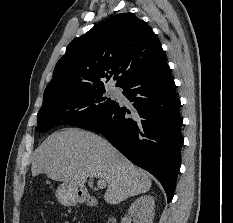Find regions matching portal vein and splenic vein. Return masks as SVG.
Masks as SVG:
<instances>
[{
	"label": "portal vein and splenic vein",
	"instance_id": "1",
	"mask_svg": "<svg viewBox=\"0 0 233 223\" xmlns=\"http://www.w3.org/2000/svg\"><path fill=\"white\" fill-rule=\"evenodd\" d=\"M96 185L97 187H100V189H103V187H106L105 179H101V177H99V179L96 181Z\"/></svg>",
	"mask_w": 233,
	"mask_h": 223
}]
</instances>
